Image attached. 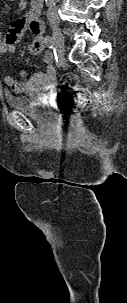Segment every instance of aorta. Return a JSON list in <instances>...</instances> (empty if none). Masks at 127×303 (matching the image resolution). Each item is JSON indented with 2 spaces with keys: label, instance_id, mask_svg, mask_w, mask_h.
I'll use <instances>...</instances> for the list:
<instances>
[{
  "label": "aorta",
  "instance_id": "obj_1",
  "mask_svg": "<svg viewBox=\"0 0 127 303\" xmlns=\"http://www.w3.org/2000/svg\"><path fill=\"white\" fill-rule=\"evenodd\" d=\"M47 4L52 5L56 2V0H45Z\"/></svg>",
  "mask_w": 127,
  "mask_h": 303
}]
</instances>
